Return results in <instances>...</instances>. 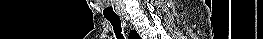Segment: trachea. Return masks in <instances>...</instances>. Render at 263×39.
Segmentation results:
<instances>
[{
    "label": "trachea",
    "instance_id": "1",
    "mask_svg": "<svg viewBox=\"0 0 263 39\" xmlns=\"http://www.w3.org/2000/svg\"><path fill=\"white\" fill-rule=\"evenodd\" d=\"M111 25L113 26V30L114 33L117 37V39H124L122 32V28H121V20L120 18L116 17V18H106Z\"/></svg>",
    "mask_w": 263,
    "mask_h": 39
}]
</instances>
